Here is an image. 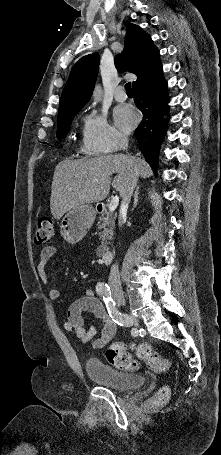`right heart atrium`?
Segmentation results:
<instances>
[{"instance_id": "right-heart-atrium-1", "label": "right heart atrium", "mask_w": 221, "mask_h": 455, "mask_svg": "<svg viewBox=\"0 0 221 455\" xmlns=\"http://www.w3.org/2000/svg\"><path fill=\"white\" fill-rule=\"evenodd\" d=\"M81 121L80 149L85 155L110 154L122 146L125 135L102 114L91 110L82 116Z\"/></svg>"}]
</instances>
